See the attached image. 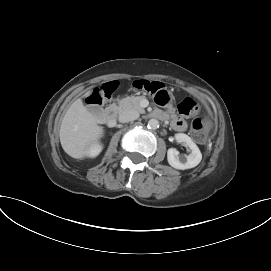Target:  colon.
<instances>
[{"label": "colon", "instance_id": "obj_1", "mask_svg": "<svg viewBox=\"0 0 271 271\" xmlns=\"http://www.w3.org/2000/svg\"><path fill=\"white\" fill-rule=\"evenodd\" d=\"M133 88L143 91L154 96L155 101L161 105L166 106L171 102V96L165 89L164 85L155 80L136 79L132 82ZM117 88L116 82H107L99 88H95L87 98V103L94 108H99L106 99L110 98ZM198 109L197 103L192 98H184L178 104V111L180 114L188 116L195 113ZM192 136L195 141L199 143L205 142L207 138V122L202 117H197L193 120L191 125Z\"/></svg>", "mask_w": 271, "mask_h": 271}]
</instances>
